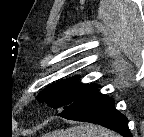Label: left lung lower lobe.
I'll use <instances>...</instances> for the list:
<instances>
[{"label": "left lung lower lobe", "instance_id": "0a47b994", "mask_svg": "<svg viewBox=\"0 0 144 137\" xmlns=\"http://www.w3.org/2000/svg\"><path fill=\"white\" fill-rule=\"evenodd\" d=\"M59 116L75 121L99 124L124 137H132L127 118L114 107V100L98 92V86L85 90Z\"/></svg>", "mask_w": 144, "mask_h": 137}]
</instances>
